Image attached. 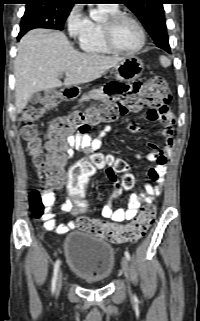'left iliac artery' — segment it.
<instances>
[{
    "mask_svg": "<svg viewBox=\"0 0 200 321\" xmlns=\"http://www.w3.org/2000/svg\"><path fill=\"white\" fill-rule=\"evenodd\" d=\"M125 257L127 258L128 261H130L131 256H130V253L128 251H125Z\"/></svg>",
    "mask_w": 200,
    "mask_h": 321,
    "instance_id": "left-iliac-artery-1",
    "label": "left iliac artery"
}]
</instances>
